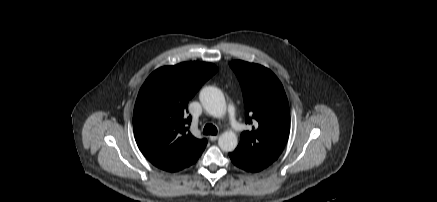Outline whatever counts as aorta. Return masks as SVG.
Wrapping results in <instances>:
<instances>
[{
    "label": "aorta",
    "instance_id": "762f6f07",
    "mask_svg": "<svg viewBox=\"0 0 437 202\" xmlns=\"http://www.w3.org/2000/svg\"><path fill=\"white\" fill-rule=\"evenodd\" d=\"M200 102L204 109L214 117H222L226 112V102L222 91L213 86L204 87L200 91ZM218 145L222 151L232 152L238 145V139L234 132H224L218 139Z\"/></svg>",
    "mask_w": 437,
    "mask_h": 202
}]
</instances>
